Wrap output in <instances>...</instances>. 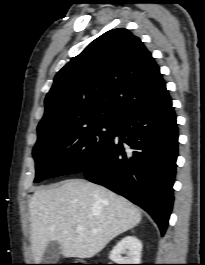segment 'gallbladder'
I'll list each match as a JSON object with an SVG mask.
<instances>
[{"label": "gallbladder", "mask_w": 205, "mask_h": 265, "mask_svg": "<svg viewBox=\"0 0 205 265\" xmlns=\"http://www.w3.org/2000/svg\"><path fill=\"white\" fill-rule=\"evenodd\" d=\"M62 254V249L57 241H51L45 248L42 263L43 264H54L58 261Z\"/></svg>", "instance_id": "bac80fb5"}]
</instances>
